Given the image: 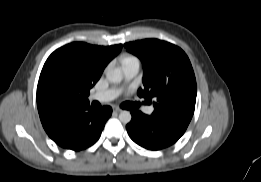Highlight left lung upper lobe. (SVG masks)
<instances>
[{"label": "left lung upper lobe", "mask_w": 261, "mask_h": 182, "mask_svg": "<svg viewBox=\"0 0 261 182\" xmlns=\"http://www.w3.org/2000/svg\"><path fill=\"white\" fill-rule=\"evenodd\" d=\"M144 67L143 89L137 94L154 102L152 117L189 124L195 109L196 79L185 52L171 43L145 39L125 43Z\"/></svg>", "instance_id": "1"}]
</instances>
